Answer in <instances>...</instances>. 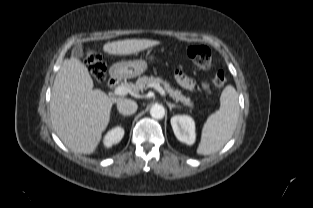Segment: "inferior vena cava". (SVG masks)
I'll return each instance as SVG.
<instances>
[{
    "mask_svg": "<svg viewBox=\"0 0 313 208\" xmlns=\"http://www.w3.org/2000/svg\"><path fill=\"white\" fill-rule=\"evenodd\" d=\"M137 103L130 99H122L117 102V109L123 115H131L137 111Z\"/></svg>",
    "mask_w": 313,
    "mask_h": 208,
    "instance_id": "inferior-vena-cava-1",
    "label": "inferior vena cava"
}]
</instances>
